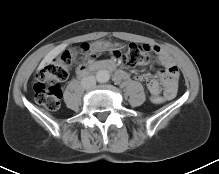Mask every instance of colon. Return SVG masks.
I'll list each match as a JSON object with an SVG mask.
<instances>
[{
    "instance_id": "5ec220e1",
    "label": "colon",
    "mask_w": 219,
    "mask_h": 174,
    "mask_svg": "<svg viewBox=\"0 0 219 174\" xmlns=\"http://www.w3.org/2000/svg\"><path fill=\"white\" fill-rule=\"evenodd\" d=\"M95 55V49L90 45L83 44L81 46L80 56L83 60L88 61ZM111 55L114 59L121 60L131 67L146 65L151 61L149 51L143 46L133 43L111 49ZM75 60L76 53L64 52L38 72L32 84L36 103L52 111L60 107L62 91L59 82L67 79ZM151 100L158 105L165 102V98L159 94H151Z\"/></svg>"
}]
</instances>
